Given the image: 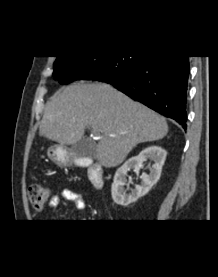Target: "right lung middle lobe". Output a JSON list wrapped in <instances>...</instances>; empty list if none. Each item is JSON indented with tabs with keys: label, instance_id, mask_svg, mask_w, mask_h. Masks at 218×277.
<instances>
[{
	"label": "right lung middle lobe",
	"instance_id": "obj_1",
	"mask_svg": "<svg viewBox=\"0 0 218 277\" xmlns=\"http://www.w3.org/2000/svg\"><path fill=\"white\" fill-rule=\"evenodd\" d=\"M146 56H59L54 63L53 77L61 84L96 75L104 80H124Z\"/></svg>",
	"mask_w": 218,
	"mask_h": 277
}]
</instances>
